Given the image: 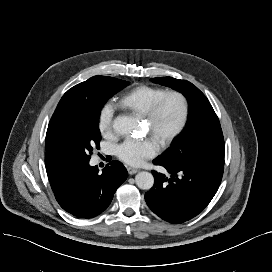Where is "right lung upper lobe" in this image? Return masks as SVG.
<instances>
[{"label":"right lung upper lobe","instance_id":"cb5924a9","mask_svg":"<svg viewBox=\"0 0 272 272\" xmlns=\"http://www.w3.org/2000/svg\"><path fill=\"white\" fill-rule=\"evenodd\" d=\"M106 76H94L84 81L71 89H69L61 98L57 108L50 120L47 134H46V156L45 165L46 170L54 169L56 165L65 163L55 157L49 147V133L53 124L64 114L69 113L78 107L82 106L85 102L89 101L101 82Z\"/></svg>","mask_w":272,"mask_h":272}]
</instances>
